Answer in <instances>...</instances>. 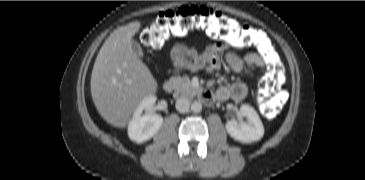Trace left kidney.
<instances>
[{
	"instance_id": "obj_1",
	"label": "left kidney",
	"mask_w": 365,
	"mask_h": 180,
	"mask_svg": "<svg viewBox=\"0 0 365 180\" xmlns=\"http://www.w3.org/2000/svg\"><path fill=\"white\" fill-rule=\"evenodd\" d=\"M240 115L247 118V122L237 120L227 121L225 127L229 135L242 143L260 140L264 135L263 124L253 107L242 105Z\"/></svg>"
}]
</instances>
